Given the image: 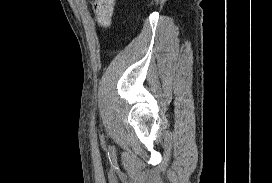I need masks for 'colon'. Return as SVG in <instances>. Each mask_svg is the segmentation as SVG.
Segmentation results:
<instances>
[{
	"label": "colon",
	"mask_w": 272,
	"mask_h": 183,
	"mask_svg": "<svg viewBox=\"0 0 272 183\" xmlns=\"http://www.w3.org/2000/svg\"><path fill=\"white\" fill-rule=\"evenodd\" d=\"M115 0H96L94 3V10L97 15L100 25L106 27L109 25Z\"/></svg>",
	"instance_id": "1"
}]
</instances>
